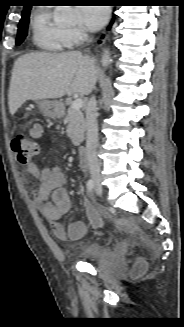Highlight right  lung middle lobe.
<instances>
[{
    "mask_svg": "<svg viewBox=\"0 0 184 327\" xmlns=\"http://www.w3.org/2000/svg\"><path fill=\"white\" fill-rule=\"evenodd\" d=\"M30 11L22 13V18L19 22L16 45H20L27 36L28 24H29Z\"/></svg>",
    "mask_w": 184,
    "mask_h": 327,
    "instance_id": "right-lung-middle-lobe-1",
    "label": "right lung middle lobe"
}]
</instances>
